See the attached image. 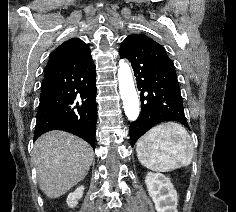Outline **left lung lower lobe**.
<instances>
[{
    "label": "left lung lower lobe",
    "mask_w": 236,
    "mask_h": 212,
    "mask_svg": "<svg viewBox=\"0 0 236 212\" xmlns=\"http://www.w3.org/2000/svg\"><path fill=\"white\" fill-rule=\"evenodd\" d=\"M120 57L130 60L140 91L141 112L129 128L132 146L161 122L178 121L190 129L175 66L165 49L146 34H132L121 43Z\"/></svg>",
    "instance_id": "obj_1"
}]
</instances>
